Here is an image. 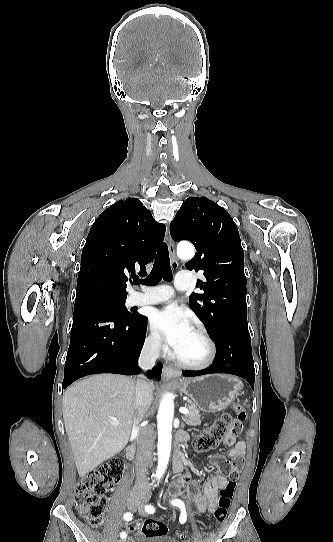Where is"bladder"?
Listing matches in <instances>:
<instances>
[{
  "label": "bladder",
  "instance_id": "bladder-1",
  "mask_svg": "<svg viewBox=\"0 0 333 542\" xmlns=\"http://www.w3.org/2000/svg\"><path fill=\"white\" fill-rule=\"evenodd\" d=\"M144 542H179L171 535L156 534L148 536Z\"/></svg>",
  "mask_w": 333,
  "mask_h": 542
}]
</instances>
